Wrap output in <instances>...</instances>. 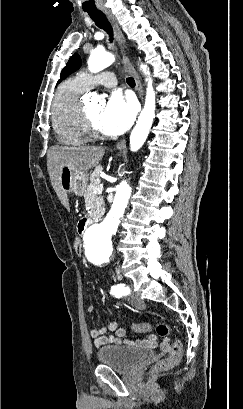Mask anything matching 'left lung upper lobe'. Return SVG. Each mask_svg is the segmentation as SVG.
Instances as JSON below:
<instances>
[{
	"instance_id": "obj_1",
	"label": "left lung upper lobe",
	"mask_w": 243,
	"mask_h": 409,
	"mask_svg": "<svg viewBox=\"0 0 243 409\" xmlns=\"http://www.w3.org/2000/svg\"><path fill=\"white\" fill-rule=\"evenodd\" d=\"M81 64H82V61H81V58H80V56L78 54H75V55L71 56L68 63L66 64V66L61 71L60 79L58 80V83L62 79L67 77L69 74H71L74 71H76L77 69H79L81 67Z\"/></svg>"
}]
</instances>
